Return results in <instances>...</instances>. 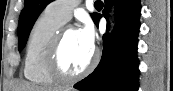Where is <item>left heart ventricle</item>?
<instances>
[{
  "mask_svg": "<svg viewBox=\"0 0 173 91\" xmlns=\"http://www.w3.org/2000/svg\"><path fill=\"white\" fill-rule=\"evenodd\" d=\"M92 54L93 49L88 48L80 40L78 31H70L67 33L61 47V66L69 73H78L89 64Z\"/></svg>",
  "mask_w": 173,
  "mask_h": 91,
  "instance_id": "b2bd125f",
  "label": "left heart ventricle"
}]
</instances>
